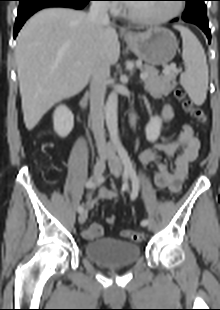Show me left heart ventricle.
Returning a JSON list of instances; mask_svg holds the SVG:
<instances>
[{
    "mask_svg": "<svg viewBox=\"0 0 220 310\" xmlns=\"http://www.w3.org/2000/svg\"><path fill=\"white\" fill-rule=\"evenodd\" d=\"M174 5L170 4H130L128 9L138 15L148 18H160L170 14Z\"/></svg>",
    "mask_w": 220,
    "mask_h": 310,
    "instance_id": "1",
    "label": "left heart ventricle"
}]
</instances>
